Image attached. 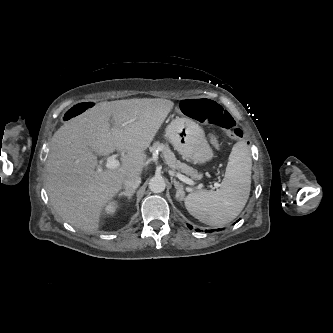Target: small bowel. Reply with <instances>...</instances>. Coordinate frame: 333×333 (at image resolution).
I'll return each instance as SVG.
<instances>
[{
    "label": "small bowel",
    "instance_id": "1",
    "mask_svg": "<svg viewBox=\"0 0 333 333\" xmlns=\"http://www.w3.org/2000/svg\"><path fill=\"white\" fill-rule=\"evenodd\" d=\"M205 136L207 138H210L209 141V145L211 146V148L213 150H216L218 147L219 148H224L227 146L228 144V139L226 136L222 135V134H215L212 135V133L210 131H207L205 133Z\"/></svg>",
    "mask_w": 333,
    "mask_h": 333
}]
</instances>
